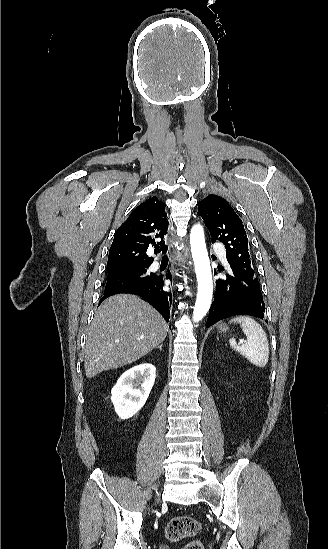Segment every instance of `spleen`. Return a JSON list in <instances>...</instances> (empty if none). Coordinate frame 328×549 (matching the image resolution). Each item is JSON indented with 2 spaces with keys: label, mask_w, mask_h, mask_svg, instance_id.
<instances>
[{
  "label": "spleen",
  "mask_w": 328,
  "mask_h": 549,
  "mask_svg": "<svg viewBox=\"0 0 328 549\" xmlns=\"http://www.w3.org/2000/svg\"><path fill=\"white\" fill-rule=\"evenodd\" d=\"M229 323H240L241 329L247 337V343L237 345L235 339H229L230 347L248 359L256 367H265L269 361V345L265 331L261 325L251 317H234Z\"/></svg>",
  "instance_id": "3e777b00"
}]
</instances>
